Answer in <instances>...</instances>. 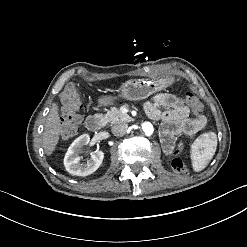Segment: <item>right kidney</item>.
Instances as JSON below:
<instances>
[{
    "label": "right kidney",
    "instance_id": "1",
    "mask_svg": "<svg viewBox=\"0 0 247 247\" xmlns=\"http://www.w3.org/2000/svg\"><path fill=\"white\" fill-rule=\"evenodd\" d=\"M89 141V135L82 134L76 138L68 148L64 157V166L70 174L87 176L95 172L101 165L104 158L102 151L92 153L91 158L86 163H80L79 152L83 146L88 145Z\"/></svg>",
    "mask_w": 247,
    "mask_h": 247
}]
</instances>
